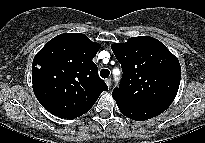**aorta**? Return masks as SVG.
Returning a JSON list of instances; mask_svg holds the SVG:
<instances>
[{
    "label": "aorta",
    "mask_w": 205,
    "mask_h": 143,
    "mask_svg": "<svg viewBox=\"0 0 205 143\" xmlns=\"http://www.w3.org/2000/svg\"><path fill=\"white\" fill-rule=\"evenodd\" d=\"M113 73H114V75H116V74H115V70H113ZM116 80H117V81L119 80L118 77L116 78Z\"/></svg>",
    "instance_id": "1"
}]
</instances>
